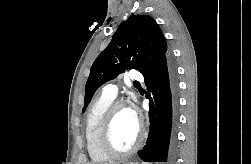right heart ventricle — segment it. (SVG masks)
Returning a JSON list of instances; mask_svg holds the SVG:
<instances>
[{"instance_id": "right-heart-ventricle-1", "label": "right heart ventricle", "mask_w": 251, "mask_h": 164, "mask_svg": "<svg viewBox=\"0 0 251 164\" xmlns=\"http://www.w3.org/2000/svg\"><path fill=\"white\" fill-rule=\"evenodd\" d=\"M114 98L102 94L89 107L84 123V134L89 157L94 162H105L108 156L99 145L102 119Z\"/></svg>"}]
</instances>
